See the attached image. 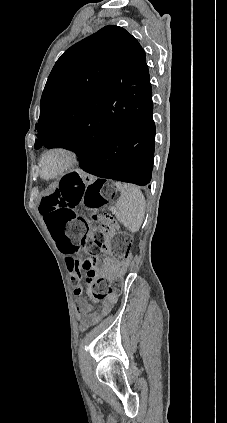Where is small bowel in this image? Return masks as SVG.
<instances>
[{
	"label": "small bowel",
	"instance_id": "1",
	"mask_svg": "<svg viewBox=\"0 0 227 423\" xmlns=\"http://www.w3.org/2000/svg\"><path fill=\"white\" fill-rule=\"evenodd\" d=\"M118 269H119V265L117 263H115L112 259H106L105 265H104L105 272L111 274V273H115ZM81 291L82 289L81 287H79L75 290V293L79 295L81 294ZM114 303H115V298L112 297L108 301L103 303V305L97 312H94L92 310L91 305L86 300H84L83 298H78L75 301V310H76L77 316L81 318L80 329L86 330L89 327L96 325L101 319H103L110 312Z\"/></svg>",
	"mask_w": 227,
	"mask_h": 423
}]
</instances>
